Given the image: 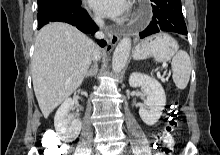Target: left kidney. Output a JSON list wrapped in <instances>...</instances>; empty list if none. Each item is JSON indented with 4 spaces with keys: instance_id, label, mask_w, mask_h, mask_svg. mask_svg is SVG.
<instances>
[{
    "instance_id": "1",
    "label": "left kidney",
    "mask_w": 220,
    "mask_h": 155,
    "mask_svg": "<svg viewBox=\"0 0 220 155\" xmlns=\"http://www.w3.org/2000/svg\"><path fill=\"white\" fill-rule=\"evenodd\" d=\"M131 87H141L146 99L139 109L142 121L152 126L158 122L166 105V95L161 84L146 74L133 72L129 77Z\"/></svg>"
}]
</instances>
